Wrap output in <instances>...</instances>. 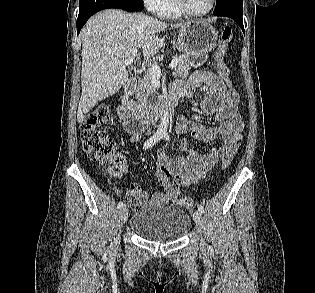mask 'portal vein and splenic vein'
<instances>
[{"label":"portal vein and splenic vein","instance_id":"1","mask_svg":"<svg viewBox=\"0 0 315 293\" xmlns=\"http://www.w3.org/2000/svg\"><path fill=\"white\" fill-rule=\"evenodd\" d=\"M136 55H137V50H134L131 57L123 61L124 65L126 66L133 65L136 62ZM178 63H179V60L177 58H174L171 61L169 68L171 69L175 68L178 65ZM150 73L154 79H159L161 76V68L158 65H151Z\"/></svg>","mask_w":315,"mask_h":293}]
</instances>
